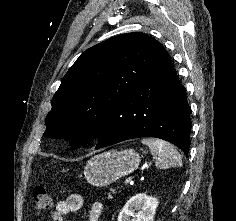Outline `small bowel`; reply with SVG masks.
Masks as SVG:
<instances>
[{"mask_svg": "<svg viewBox=\"0 0 236 221\" xmlns=\"http://www.w3.org/2000/svg\"><path fill=\"white\" fill-rule=\"evenodd\" d=\"M83 204L84 199L81 195L71 194L56 203L54 210L51 212V217L54 221H63L65 215L79 211ZM102 213V204L94 202L89 209L88 221H99Z\"/></svg>", "mask_w": 236, "mask_h": 221, "instance_id": "c3829d8e", "label": "small bowel"}]
</instances>
